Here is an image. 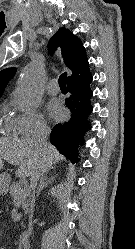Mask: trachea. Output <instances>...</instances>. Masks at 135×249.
Wrapping results in <instances>:
<instances>
[{"label": "trachea", "mask_w": 135, "mask_h": 249, "mask_svg": "<svg viewBox=\"0 0 135 249\" xmlns=\"http://www.w3.org/2000/svg\"><path fill=\"white\" fill-rule=\"evenodd\" d=\"M66 80H67V74L65 72L60 75L59 80H58V83L61 89H67Z\"/></svg>", "instance_id": "1"}]
</instances>
